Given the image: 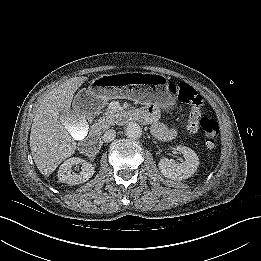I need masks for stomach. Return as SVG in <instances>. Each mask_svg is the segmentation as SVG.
Returning <instances> with one entry per match:
<instances>
[{
    "label": "stomach",
    "instance_id": "0dacf381",
    "mask_svg": "<svg viewBox=\"0 0 261 261\" xmlns=\"http://www.w3.org/2000/svg\"><path fill=\"white\" fill-rule=\"evenodd\" d=\"M168 80L156 73L124 72L101 75L86 90L90 95V111L101 109L108 99L128 98L142 103L172 104L167 90Z\"/></svg>",
    "mask_w": 261,
    "mask_h": 261
}]
</instances>
